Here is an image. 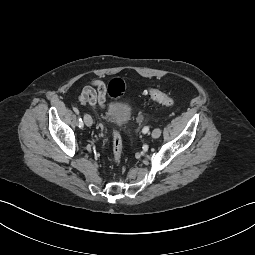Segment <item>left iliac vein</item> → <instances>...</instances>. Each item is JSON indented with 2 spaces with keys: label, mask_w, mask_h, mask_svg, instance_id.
Here are the masks:
<instances>
[{
  "label": "left iliac vein",
  "mask_w": 255,
  "mask_h": 255,
  "mask_svg": "<svg viewBox=\"0 0 255 255\" xmlns=\"http://www.w3.org/2000/svg\"><path fill=\"white\" fill-rule=\"evenodd\" d=\"M161 135V130L159 128H156L152 131V137L158 138Z\"/></svg>",
  "instance_id": "left-iliac-vein-1"
}]
</instances>
